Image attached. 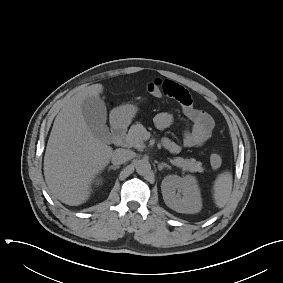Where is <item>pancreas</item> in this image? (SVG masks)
Here are the masks:
<instances>
[{
  "label": "pancreas",
  "instance_id": "cf45deb5",
  "mask_svg": "<svg viewBox=\"0 0 283 283\" xmlns=\"http://www.w3.org/2000/svg\"><path fill=\"white\" fill-rule=\"evenodd\" d=\"M145 132L146 128L141 123L132 125L129 129L128 134L125 137L124 146L129 148L134 147L138 150H143L145 148ZM170 162L173 165L182 167L184 170H188L190 172H203L204 170L202 167V163L200 161H196L194 158L184 159L181 157H176L174 159H170Z\"/></svg>",
  "mask_w": 283,
  "mask_h": 283
}]
</instances>
